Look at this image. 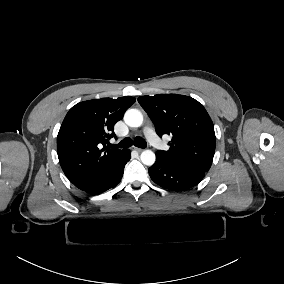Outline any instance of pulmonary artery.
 Instances as JSON below:
<instances>
[{"instance_id":"obj_1","label":"pulmonary artery","mask_w":284,"mask_h":284,"mask_svg":"<svg viewBox=\"0 0 284 284\" xmlns=\"http://www.w3.org/2000/svg\"><path fill=\"white\" fill-rule=\"evenodd\" d=\"M150 131V128L147 126L144 128V133L147 134ZM146 139L151 143L152 147L156 150H159L163 147L164 142L159 138L158 134L154 131H151L147 134Z\"/></svg>"}]
</instances>
